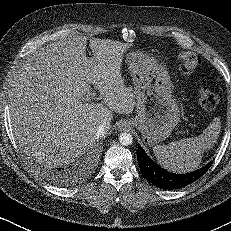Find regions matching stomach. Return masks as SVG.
I'll return each instance as SVG.
<instances>
[{
    "label": "stomach",
    "mask_w": 231,
    "mask_h": 231,
    "mask_svg": "<svg viewBox=\"0 0 231 231\" xmlns=\"http://www.w3.org/2000/svg\"><path fill=\"white\" fill-rule=\"evenodd\" d=\"M127 63L137 105L132 124L143 141L154 146L170 136L180 119L170 76L153 57L142 52H129Z\"/></svg>",
    "instance_id": "1"
}]
</instances>
